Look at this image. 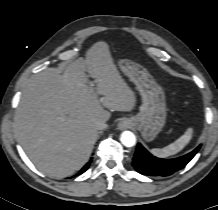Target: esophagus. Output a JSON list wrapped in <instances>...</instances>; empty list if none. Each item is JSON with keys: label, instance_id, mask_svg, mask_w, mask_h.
Wrapping results in <instances>:
<instances>
[{"label": "esophagus", "instance_id": "obj_1", "mask_svg": "<svg viewBox=\"0 0 218 210\" xmlns=\"http://www.w3.org/2000/svg\"><path fill=\"white\" fill-rule=\"evenodd\" d=\"M130 126H131V122L127 118H122L118 122V129H120V130L128 129V128H130Z\"/></svg>", "mask_w": 218, "mask_h": 210}]
</instances>
